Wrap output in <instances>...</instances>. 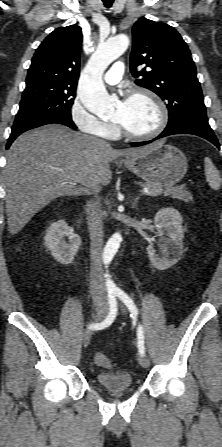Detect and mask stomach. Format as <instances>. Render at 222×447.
<instances>
[{"label":"stomach","instance_id":"0dacf381","mask_svg":"<svg viewBox=\"0 0 222 447\" xmlns=\"http://www.w3.org/2000/svg\"><path fill=\"white\" fill-rule=\"evenodd\" d=\"M125 166L135 175L162 187H171L186 174L188 161L178 148L163 143H154L124 160Z\"/></svg>","mask_w":222,"mask_h":447}]
</instances>
